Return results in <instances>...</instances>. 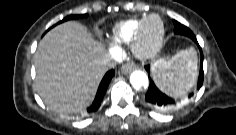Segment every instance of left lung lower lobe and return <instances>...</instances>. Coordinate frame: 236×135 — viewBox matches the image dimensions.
Returning a JSON list of instances; mask_svg holds the SVG:
<instances>
[{"label":"left lung lower lobe","mask_w":236,"mask_h":135,"mask_svg":"<svg viewBox=\"0 0 236 135\" xmlns=\"http://www.w3.org/2000/svg\"><path fill=\"white\" fill-rule=\"evenodd\" d=\"M174 26H175V34L184 35L189 38H191L198 46L197 39L193 32L187 28L186 26L182 25L181 23L173 20ZM200 52H201V63H200V74L198 77L196 89H200V87L203 84L204 79V73H203V53L199 46ZM148 72H150V67H145ZM193 95V92L189 94L188 97H191ZM145 100L151 107L158 109V110H168L176 105L177 101L173 100L172 98H169L165 94H163L154 84L152 80H150V85L148 88V91L145 95Z\"/></svg>","instance_id":"1"}]
</instances>
